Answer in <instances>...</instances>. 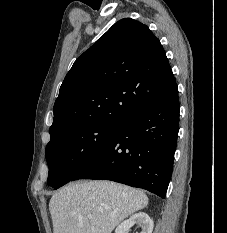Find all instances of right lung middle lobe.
Returning <instances> with one entry per match:
<instances>
[{"mask_svg":"<svg viewBox=\"0 0 227 233\" xmlns=\"http://www.w3.org/2000/svg\"><path fill=\"white\" fill-rule=\"evenodd\" d=\"M120 123L82 125L52 137L46 147L47 184L57 189L68 183L107 143Z\"/></svg>","mask_w":227,"mask_h":233,"instance_id":"right-lung-middle-lobe-1","label":"right lung middle lobe"}]
</instances>
